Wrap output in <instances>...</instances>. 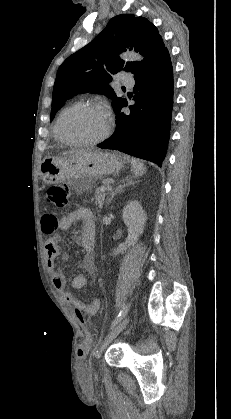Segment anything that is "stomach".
<instances>
[{"label": "stomach", "mask_w": 231, "mask_h": 419, "mask_svg": "<svg viewBox=\"0 0 231 419\" xmlns=\"http://www.w3.org/2000/svg\"><path fill=\"white\" fill-rule=\"evenodd\" d=\"M124 163L125 158L117 153L87 151L46 158L40 164L39 174L46 184L70 181L76 191L82 193L96 180L117 173Z\"/></svg>", "instance_id": "1"}]
</instances>
